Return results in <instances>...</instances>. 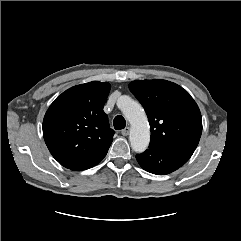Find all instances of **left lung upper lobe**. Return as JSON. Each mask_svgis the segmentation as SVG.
Returning a JSON list of instances; mask_svg holds the SVG:
<instances>
[{
  "label": "left lung upper lobe",
  "instance_id": "5c2ea615",
  "mask_svg": "<svg viewBox=\"0 0 241 241\" xmlns=\"http://www.w3.org/2000/svg\"><path fill=\"white\" fill-rule=\"evenodd\" d=\"M129 89L144 107L150 144L195 150L202 132L198 105L179 85L166 80H137Z\"/></svg>",
  "mask_w": 241,
  "mask_h": 241
}]
</instances>
